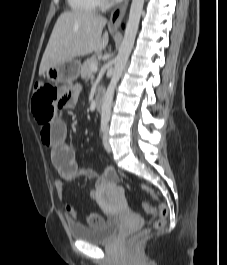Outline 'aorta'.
<instances>
[{
	"label": "aorta",
	"mask_w": 227,
	"mask_h": 265,
	"mask_svg": "<svg viewBox=\"0 0 227 265\" xmlns=\"http://www.w3.org/2000/svg\"><path fill=\"white\" fill-rule=\"evenodd\" d=\"M143 5L144 0H132L124 38L115 62L114 73L103 98L101 111L102 123H108L110 120L114 91L133 48Z\"/></svg>",
	"instance_id": "aorta-1"
}]
</instances>
